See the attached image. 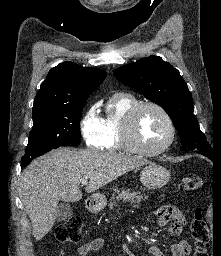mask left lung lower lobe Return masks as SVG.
I'll use <instances>...</instances> for the list:
<instances>
[{
    "label": "left lung lower lobe",
    "mask_w": 221,
    "mask_h": 256,
    "mask_svg": "<svg viewBox=\"0 0 221 256\" xmlns=\"http://www.w3.org/2000/svg\"><path fill=\"white\" fill-rule=\"evenodd\" d=\"M206 157H208V158L211 159V160H214V157H213V156H206Z\"/></svg>",
    "instance_id": "left-lung-lower-lobe-1"
}]
</instances>
